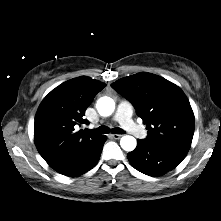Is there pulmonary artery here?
<instances>
[{
	"mask_svg": "<svg viewBox=\"0 0 221 221\" xmlns=\"http://www.w3.org/2000/svg\"><path fill=\"white\" fill-rule=\"evenodd\" d=\"M114 120L135 137L144 138L146 136V132L132 120V107L128 102L119 103Z\"/></svg>",
	"mask_w": 221,
	"mask_h": 221,
	"instance_id": "e3ab8cb5",
	"label": "pulmonary artery"
}]
</instances>
